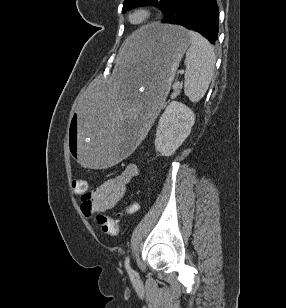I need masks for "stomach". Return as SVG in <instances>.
Here are the masks:
<instances>
[{
  "mask_svg": "<svg viewBox=\"0 0 286 308\" xmlns=\"http://www.w3.org/2000/svg\"><path fill=\"white\" fill-rule=\"evenodd\" d=\"M136 32L121 44L110 81H99L72 114L67 149L78 168H115L143 144L191 44L179 25L152 23Z\"/></svg>",
  "mask_w": 286,
  "mask_h": 308,
  "instance_id": "1",
  "label": "stomach"
}]
</instances>
